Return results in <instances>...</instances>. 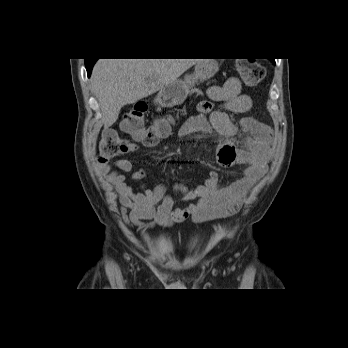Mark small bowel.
Wrapping results in <instances>:
<instances>
[{
  "label": "small bowel",
  "mask_w": 348,
  "mask_h": 348,
  "mask_svg": "<svg viewBox=\"0 0 348 348\" xmlns=\"http://www.w3.org/2000/svg\"><path fill=\"white\" fill-rule=\"evenodd\" d=\"M206 94L208 100L198 104L197 115L184 122L179 136L185 139L213 129L220 137L217 145L219 163L245 166L242 177L221 185L218 174L211 172L197 187L175 184L170 188L160 184L155 189L142 186V190L136 192L126 183V174L131 173L132 179L140 180L147 176L146 169L133 171V164L128 159H120L113 165L103 164L100 172L115 187L123 219L128 225L147 231L156 226H171L188 217L197 223L230 217L242 206L250 188L264 175L272 155V130L252 117L243 118L237 124L228 116V113L244 114L251 109L252 100L241 92L240 81L231 77L223 85L210 86ZM240 127L246 129L248 135L244 146L237 148L230 138L237 135ZM139 148L137 144H130L128 152ZM176 195L190 203L176 208Z\"/></svg>",
  "instance_id": "1"
}]
</instances>
